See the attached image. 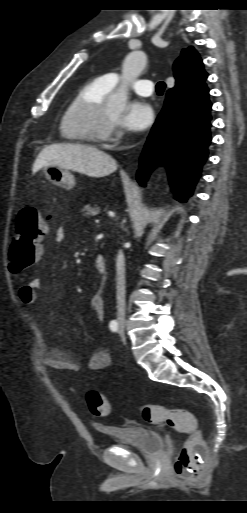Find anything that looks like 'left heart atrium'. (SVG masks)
Here are the masks:
<instances>
[{
    "instance_id": "obj_1",
    "label": "left heart atrium",
    "mask_w": 247,
    "mask_h": 513,
    "mask_svg": "<svg viewBox=\"0 0 247 513\" xmlns=\"http://www.w3.org/2000/svg\"><path fill=\"white\" fill-rule=\"evenodd\" d=\"M155 119V113L152 107L142 100L130 102L120 123L131 130H144L152 125Z\"/></svg>"
}]
</instances>
